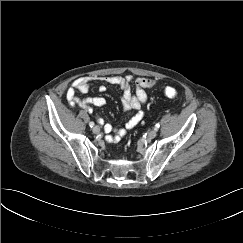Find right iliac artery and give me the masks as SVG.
I'll return each instance as SVG.
<instances>
[{"label": "right iliac artery", "instance_id": "obj_1", "mask_svg": "<svg viewBox=\"0 0 243 243\" xmlns=\"http://www.w3.org/2000/svg\"><path fill=\"white\" fill-rule=\"evenodd\" d=\"M94 125H95L94 122H90V123H89V126H90L91 128L94 127Z\"/></svg>", "mask_w": 243, "mask_h": 243}]
</instances>
